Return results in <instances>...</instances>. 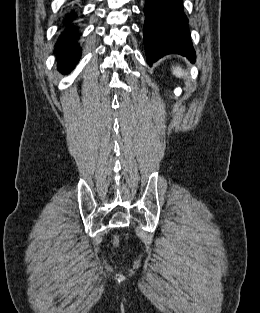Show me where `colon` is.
<instances>
[{
    "label": "colon",
    "instance_id": "obj_1",
    "mask_svg": "<svg viewBox=\"0 0 260 313\" xmlns=\"http://www.w3.org/2000/svg\"><path fill=\"white\" fill-rule=\"evenodd\" d=\"M113 246L114 248H118L120 246V238L119 236H116L114 241H113Z\"/></svg>",
    "mask_w": 260,
    "mask_h": 313
}]
</instances>
